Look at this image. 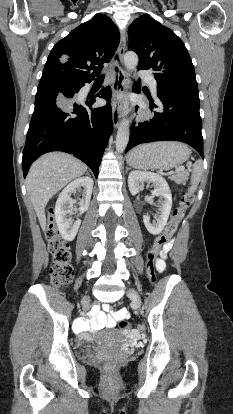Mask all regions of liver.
Returning a JSON list of instances; mask_svg holds the SVG:
<instances>
[{
  "label": "liver",
  "mask_w": 233,
  "mask_h": 414,
  "mask_svg": "<svg viewBox=\"0 0 233 414\" xmlns=\"http://www.w3.org/2000/svg\"><path fill=\"white\" fill-rule=\"evenodd\" d=\"M87 166L62 152H52L36 160L27 175L26 188L42 229L46 227L45 207L65 185L82 176Z\"/></svg>",
  "instance_id": "6515ba94"
}]
</instances>
